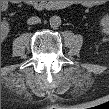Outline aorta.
I'll use <instances>...</instances> for the list:
<instances>
[{
    "label": "aorta",
    "mask_w": 109,
    "mask_h": 109,
    "mask_svg": "<svg viewBox=\"0 0 109 109\" xmlns=\"http://www.w3.org/2000/svg\"><path fill=\"white\" fill-rule=\"evenodd\" d=\"M49 23L51 27L57 28L61 25V18L57 15H54L50 18Z\"/></svg>",
    "instance_id": "1"
}]
</instances>
